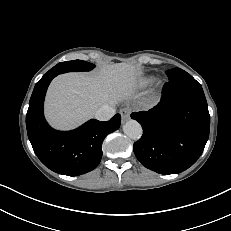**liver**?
Wrapping results in <instances>:
<instances>
[{"instance_id": "liver-1", "label": "liver", "mask_w": 231, "mask_h": 231, "mask_svg": "<svg viewBox=\"0 0 231 231\" xmlns=\"http://www.w3.org/2000/svg\"><path fill=\"white\" fill-rule=\"evenodd\" d=\"M139 70L134 65L116 63L95 75L67 73L49 86L45 114L57 129H72L94 116L103 105H115L133 93Z\"/></svg>"}]
</instances>
